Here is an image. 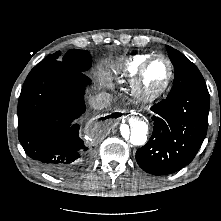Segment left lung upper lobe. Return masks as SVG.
<instances>
[{
  "mask_svg": "<svg viewBox=\"0 0 221 221\" xmlns=\"http://www.w3.org/2000/svg\"><path fill=\"white\" fill-rule=\"evenodd\" d=\"M167 47L169 58L174 66L175 79L170 96H177L181 92L194 88L206 86L203 76L198 68L178 50Z\"/></svg>",
  "mask_w": 221,
  "mask_h": 221,
  "instance_id": "obj_1",
  "label": "left lung upper lobe"
}]
</instances>
